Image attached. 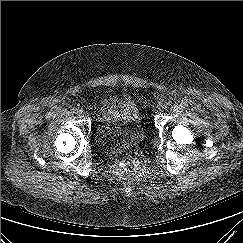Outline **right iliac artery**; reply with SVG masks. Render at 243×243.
Wrapping results in <instances>:
<instances>
[{"label":"right iliac artery","instance_id":"1","mask_svg":"<svg viewBox=\"0 0 243 243\" xmlns=\"http://www.w3.org/2000/svg\"><path fill=\"white\" fill-rule=\"evenodd\" d=\"M72 112L75 113V114H77V113L79 112V110L76 109V108H73V109H72Z\"/></svg>","mask_w":243,"mask_h":243}]
</instances>
